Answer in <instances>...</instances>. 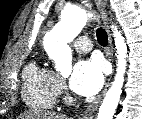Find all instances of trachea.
<instances>
[{"label": "trachea", "mask_w": 142, "mask_h": 119, "mask_svg": "<svg viewBox=\"0 0 142 119\" xmlns=\"http://www.w3.org/2000/svg\"><path fill=\"white\" fill-rule=\"evenodd\" d=\"M96 35H97L98 43L101 46H107V44H108V35H107L106 31L104 29H102V28L97 29Z\"/></svg>", "instance_id": "1"}]
</instances>
